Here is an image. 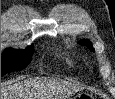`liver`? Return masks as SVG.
I'll return each mask as SVG.
<instances>
[{
    "label": "liver",
    "mask_w": 115,
    "mask_h": 99,
    "mask_svg": "<svg viewBox=\"0 0 115 99\" xmlns=\"http://www.w3.org/2000/svg\"><path fill=\"white\" fill-rule=\"evenodd\" d=\"M77 88L55 78H34L1 87V99H68Z\"/></svg>",
    "instance_id": "liver-1"
}]
</instances>
